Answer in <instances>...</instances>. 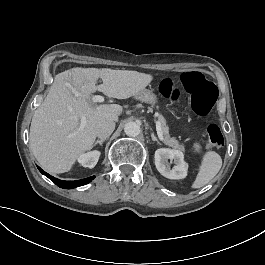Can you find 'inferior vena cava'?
<instances>
[{
    "mask_svg": "<svg viewBox=\"0 0 265 265\" xmlns=\"http://www.w3.org/2000/svg\"><path fill=\"white\" fill-rule=\"evenodd\" d=\"M114 129V121L104 120L96 127V136L101 139L107 138L113 133Z\"/></svg>",
    "mask_w": 265,
    "mask_h": 265,
    "instance_id": "inferior-vena-cava-1",
    "label": "inferior vena cava"
}]
</instances>
